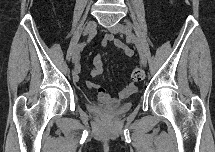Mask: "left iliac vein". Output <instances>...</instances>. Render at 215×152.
Wrapping results in <instances>:
<instances>
[{"label":"left iliac vein","instance_id":"4c4485c4","mask_svg":"<svg viewBox=\"0 0 215 152\" xmlns=\"http://www.w3.org/2000/svg\"><path fill=\"white\" fill-rule=\"evenodd\" d=\"M109 31L111 33L117 34V33H123L126 35V37L136 46L139 56H140V62L142 66H146L147 64V58L145 51L142 47V44L140 40L137 38V36L125 25L118 23L112 27L109 28Z\"/></svg>","mask_w":215,"mask_h":152}]
</instances>
